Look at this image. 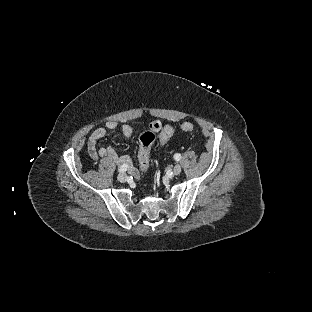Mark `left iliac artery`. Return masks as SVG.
I'll list each match as a JSON object with an SVG mask.
<instances>
[{
	"mask_svg": "<svg viewBox=\"0 0 312 312\" xmlns=\"http://www.w3.org/2000/svg\"><path fill=\"white\" fill-rule=\"evenodd\" d=\"M174 159H175L176 161H179V160L181 159V155H180L179 153H176V154L174 155Z\"/></svg>",
	"mask_w": 312,
	"mask_h": 312,
	"instance_id": "44dca946",
	"label": "left iliac artery"
}]
</instances>
